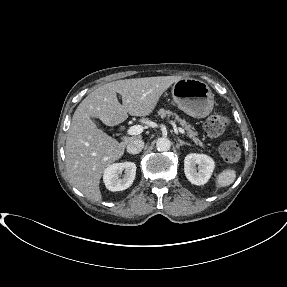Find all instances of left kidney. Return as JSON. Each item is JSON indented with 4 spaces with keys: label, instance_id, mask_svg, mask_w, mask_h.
Wrapping results in <instances>:
<instances>
[{
    "label": "left kidney",
    "instance_id": "obj_1",
    "mask_svg": "<svg viewBox=\"0 0 287 287\" xmlns=\"http://www.w3.org/2000/svg\"><path fill=\"white\" fill-rule=\"evenodd\" d=\"M214 167L213 159L205 154L190 153L184 159L185 176L195 185H204L207 183L213 173Z\"/></svg>",
    "mask_w": 287,
    "mask_h": 287
}]
</instances>
